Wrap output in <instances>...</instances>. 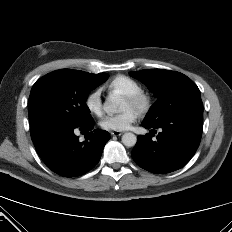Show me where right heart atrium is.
Masks as SVG:
<instances>
[{"label":"right heart atrium","mask_w":232,"mask_h":232,"mask_svg":"<svg viewBox=\"0 0 232 232\" xmlns=\"http://www.w3.org/2000/svg\"><path fill=\"white\" fill-rule=\"evenodd\" d=\"M85 106L91 114L95 116L102 115L103 105H102L101 94L99 90H93L87 94L85 98Z\"/></svg>","instance_id":"d8ad5b80"}]
</instances>
